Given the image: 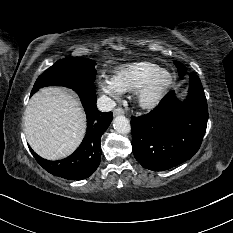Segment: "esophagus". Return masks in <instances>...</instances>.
I'll list each match as a JSON object with an SVG mask.
<instances>
[{"label": "esophagus", "instance_id": "obj_1", "mask_svg": "<svg viewBox=\"0 0 233 233\" xmlns=\"http://www.w3.org/2000/svg\"><path fill=\"white\" fill-rule=\"evenodd\" d=\"M113 114H114V116L124 115L125 111L122 108L118 107V108L114 109Z\"/></svg>", "mask_w": 233, "mask_h": 233}]
</instances>
